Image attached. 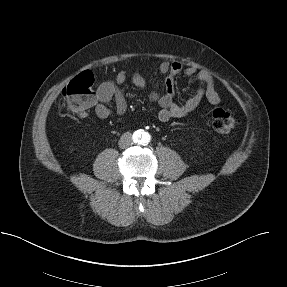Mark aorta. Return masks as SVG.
Masks as SVG:
<instances>
[{"mask_svg":"<svg viewBox=\"0 0 287 287\" xmlns=\"http://www.w3.org/2000/svg\"><path fill=\"white\" fill-rule=\"evenodd\" d=\"M138 137H139V142L141 144H148V142L150 141V135L147 132L144 131H138Z\"/></svg>","mask_w":287,"mask_h":287,"instance_id":"aorta-1","label":"aorta"}]
</instances>
